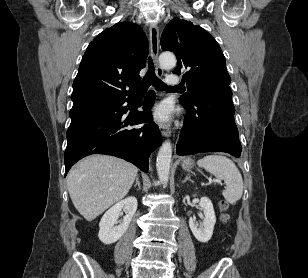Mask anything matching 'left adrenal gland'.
Here are the masks:
<instances>
[{
	"label": "left adrenal gland",
	"mask_w": 308,
	"mask_h": 278,
	"mask_svg": "<svg viewBox=\"0 0 308 278\" xmlns=\"http://www.w3.org/2000/svg\"><path fill=\"white\" fill-rule=\"evenodd\" d=\"M186 181H191V182H193V181L191 180V178H190V174H188V175L186 176V178H185L182 182L185 183Z\"/></svg>",
	"instance_id": "1"
}]
</instances>
